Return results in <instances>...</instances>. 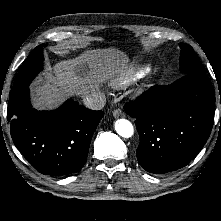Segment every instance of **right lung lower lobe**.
<instances>
[{
	"label": "right lung lower lobe",
	"mask_w": 221,
	"mask_h": 221,
	"mask_svg": "<svg viewBox=\"0 0 221 221\" xmlns=\"http://www.w3.org/2000/svg\"><path fill=\"white\" fill-rule=\"evenodd\" d=\"M30 83L14 86L9 95L7 116L15 146L42 174L61 176L79 171L103 112L73 100L54 111H37L31 108Z\"/></svg>",
	"instance_id": "obj_1"
}]
</instances>
